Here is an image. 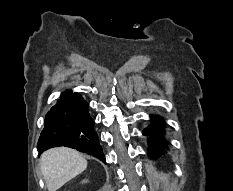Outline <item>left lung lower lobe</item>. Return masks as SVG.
I'll return each mask as SVG.
<instances>
[{
  "mask_svg": "<svg viewBox=\"0 0 233 191\" xmlns=\"http://www.w3.org/2000/svg\"><path fill=\"white\" fill-rule=\"evenodd\" d=\"M163 124L158 116L152 117L151 125L143 131L144 135L149 136L148 155L156 160L166 153L167 143L163 138Z\"/></svg>",
  "mask_w": 233,
  "mask_h": 191,
  "instance_id": "left-lung-lower-lobe-1",
  "label": "left lung lower lobe"
}]
</instances>
